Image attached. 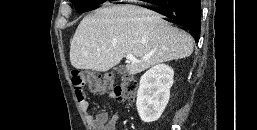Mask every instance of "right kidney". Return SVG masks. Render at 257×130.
I'll list each match as a JSON object with an SVG mask.
<instances>
[{"mask_svg": "<svg viewBox=\"0 0 257 130\" xmlns=\"http://www.w3.org/2000/svg\"><path fill=\"white\" fill-rule=\"evenodd\" d=\"M173 76V69L165 64H158L141 76L136 106L143 122L152 123L162 115L170 98Z\"/></svg>", "mask_w": 257, "mask_h": 130, "instance_id": "right-kidney-1", "label": "right kidney"}]
</instances>
